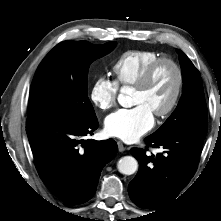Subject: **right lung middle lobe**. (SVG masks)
Masks as SVG:
<instances>
[{
	"label": "right lung middle lobe",
	"mask_w": 221,
	"mask_h": 221,
	"mask_svg": "<svg viewBox=\"0 0 221 221\" xmlns=\"http://www.w3.org/2000/svg\"><path fill=\"white\" fill-rule=\"evenodd\" d=\"M115 47L87 41L59 43L38 66L31 84L28 118L57 115L72 120L96 118L87 94L90 64Z\"/></svg>",
	"instance_id": "dd1d6c3e"
}]
</instances>
